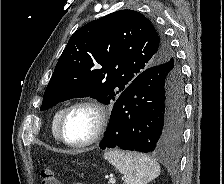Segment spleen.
<instances>
[{
  "label": "spleen",
  "mask_w": 224,
  "mask_h": 184,
  "mask_svg": "<svg viewBox=\"0 0 224 184\" xmlns=\"http://www.w3.org/2000/svg\"><path fill=\"white\" fill-rule=\"evenodd\" d=\"M104 158L125 176L124 184H147L160 174L159 164L147 155L112 150Z\"/></svg>",
  "instance_id": "spleen-1"
}]
</instances>
